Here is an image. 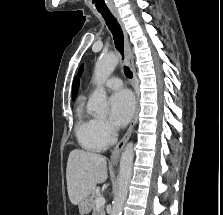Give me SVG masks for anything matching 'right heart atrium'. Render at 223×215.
I'll list each match as a JSON object with an SVG mask.
<instances>
[{
    "instance_id": "obj_1",
    "label": "right heart atrium",
    "mask_w": 223,
    "mask_h": 215,
    "mask_svg": "<svg viewBox=\"0 0 223 215\" xmlns=\"http://www.w3.org/2000/svg\"><path fill=\"white\" fill-rule=\"evenodd\" d=\"M97 128L99 133L106 140H110L114 136V131L110 125V123L105 119H97L96 120Z\"/></svg>"
}]
</instances>
